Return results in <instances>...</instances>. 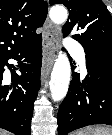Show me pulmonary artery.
<instances>
[{
    "label": "pulmonary artery",
    "mask_w": 112,
    "mask_h": 135,
    "mask_svg": "<svg viewBox=\"0 0 112 135\" xmlns=\"http://www.w3.org/2000/svg\"><path fill=\"white\" fill-rule=\"evenodd\" d=\"M65 44L70 54L80 64L82 70H85V55H84L82 46L78 42L72 39H67Z\"/></svg>",
    "instance_id": "e3ab8cb5"
}]
</instances>
